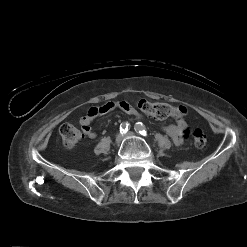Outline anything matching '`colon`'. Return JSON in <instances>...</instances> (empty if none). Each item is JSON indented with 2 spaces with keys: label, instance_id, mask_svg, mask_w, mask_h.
Returning a JSON list of instances; mask_svg holds the SVG:
<instances>
[{
  "label": "colon",
  "instance_id": "obj_1",
  "mask_svg": "<svg viewBox=\"0 0 247 247\" xmlns=\"http://www.w3.org/2000/svg\"><path fill=\"white\" fill-rule=\"evenodd\" d=\"M137 107L146 115L157 119L175 118L180 119L186 115V109L183 106H172L164 102H153L142 99L137 103ZM59 133L65 148H74L82 139L81 131L72 124L65 123L61 125ZM194 144L197 147H204L207 142V136L201 128H195L192 131Z\"/></svg>",
  "mask_w": 247,
  "mask_h": 247
}]
</instances>
